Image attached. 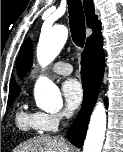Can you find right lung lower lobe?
<instances>
[{
  "label": "right lung lower lobe",
  "instance_id": "right-lung-lower-lobe-1",
  "mask_svg": "<svg viewBox=\"0 0 123 152\" xmlns=\"http://www.w3.org/2000/svg\"><path fill=\"white\" fill-rule=\"evenodd\" d=\"M104 74V52L102 36L86 44L81 56V80L83 103L81 110L67 132L68 140L76 147H82L90 114L97 100Z\"/></svg>",
  "mask_w": 123,
  "mask_h": 152
}]
</instances>
